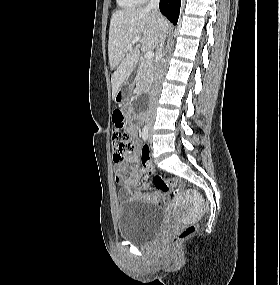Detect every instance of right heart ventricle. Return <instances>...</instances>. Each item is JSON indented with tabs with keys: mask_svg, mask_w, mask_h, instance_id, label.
I'll return each mask as SVG.
<instances>
[{
	"mask_svg": "<svg viewBox=\"0 0 280 285\" xmlns=\"http://www.w3.org/2000/svg\"><path fill=\"white\" fill-rule=\"evenodd\" d=\"M117 2L121 7L131 9L142 4L144 0H117Z\"/></svg>",
	"mask_w": 280,
	"mask_h": 285,
	"instance_id": "1",
	"label": "right heart ventricle"
}]
</instances>
